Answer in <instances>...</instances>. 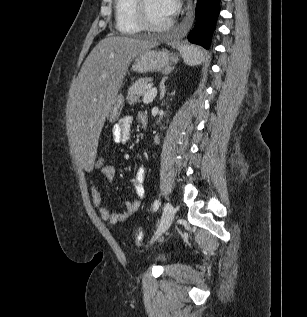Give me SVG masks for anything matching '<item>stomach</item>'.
I'll use <instances>...</instances> for the list:
<instances>
[{
  "mask_svg": "<svg viewBox=\"0 0 307 317\" xmlns=\"http://www.w3.org/2000/svg\"><path fill=\"white\" fill-rule=\"evenodd\" d=\"M172 62H176V58L168 51L149 49L134 59L131 70L138 73L161 71L167 68ZM123 103L124 98L121 94L114 97L111 109L107 115L109 121L114 122L119 118Z\"/></svg>",
  "mask_w": 307,
  "mask_h": 317,
  "instance_id": "0dacf381",
  "label": "stomach"
}]
</instances>
